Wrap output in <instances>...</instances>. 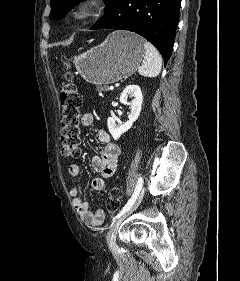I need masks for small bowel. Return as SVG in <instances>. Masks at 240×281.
Masks as SVG:
<instances>
[{
	"mask_svg": "<svg viewBox=\"0 0 240 281\" xmlns=\"http://www.w3.org/2000/svg\"><path fill=\"white\" fill-rule=\"evenodd\" d=\"M93 121L94 116L90 112L84 113L81 116V124L84 127L91 126ZM97 137L103 147L100 156H95L92 159V167L98 175L92 179L91 185L95 191L102 192L106 188V179L111 177L117 169L120 147L112 141L108 132L103 129L97 131ZM68 172L73 183L70 195L73 198V204L81 220L88 226H99L104 221L105 213L102 209L92 211L89 203L81 196L78 188V182L82 175L80 166L71 164Z\"/></svg>",
	"mask_w": 240,
	"mask_h": 281,
	"instance_id": "c3829d8e",
	"label": "small bowel"
}]
</instances>
